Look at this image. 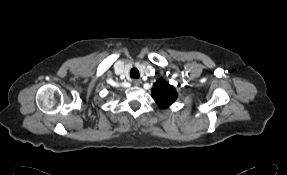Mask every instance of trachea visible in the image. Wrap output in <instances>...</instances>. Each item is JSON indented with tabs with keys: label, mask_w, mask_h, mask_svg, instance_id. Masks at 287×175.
<instances>
[{
	"label": "trachea",
	"mask_w": 287,
	"mask_h": 175,
	"mask_svg": "<svg viewBox=\"0 0 287 175\" xmlns=\"http://www.w3.org/2000/svg\"><path fill=\"white\" fill-rule=\"evenodd\" d=\"M130 76L132 78H139V71L137 68H132L131 71H130Z\"/></svg>",
	"instance_id": "obj_1"
}]
</instances>
